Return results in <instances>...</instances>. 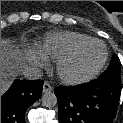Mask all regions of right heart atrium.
Masks as SVG:
<instances>
[{
    "label": "right heart atrium",
    "mask_w": 123,
    "mask_h": 123,
    "mask_svg": "<svg viewBox=\"0 0 123 123\" xmlns=\"http://www.w3.org/2000/svg\"><path fill=\"white\" fill-rule=\"evenodd\" d=\"M26 62L33 68H42L46 65L47 59L41 54L33 51H29L25 56Z\"/></svg>",
    "instance_id": "1"
}]
</instances>
